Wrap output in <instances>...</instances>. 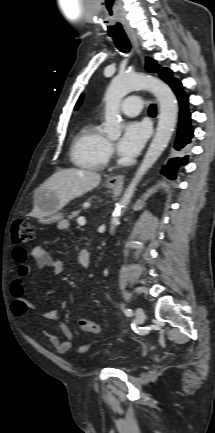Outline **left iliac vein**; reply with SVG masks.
Wrapping results in <instances>:
<instances>
[{"mask_svg": "<svg viewBox=\"0 0 215 433\" xmlns=\"http://www.w3.org/2000/svg\"><path fill=\"white\" fill-rule=\"evenodd\" d=\"M136 320L139 324H142L145 319L144 310L141 307H137L135 311Z\"/></svg>", "mask_w": 215, "mask_h": 433, "instance_id": "1", "label": "left iliac vein"}]
</instances>
